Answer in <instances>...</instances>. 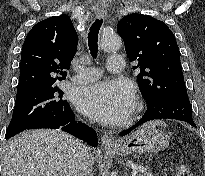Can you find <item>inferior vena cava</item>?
Here are the masks:
<instances>
[{
    "label": "inferior vena cava",
    "mask_w": 205,
    "mask_h": 176,
    "mask_svg": "<svg viewBox=\"0 0 205 176\" xmlns=\"http://www.w3.org/2000/svg\"><path fill=\"white\" fill-rule=\"evenodd\" d=\"M75 176H93L89 148L77 142L75 146Z\"/></svg>",
    "instance_id": "1"
}]
</instances>
